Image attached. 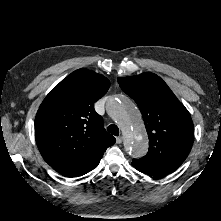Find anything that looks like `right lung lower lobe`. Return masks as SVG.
I'll return each instance as SVG.
<instances>
[{
  "instance_id": "right-lung-lower-lobe-1",
  "label": "right lung lower lobe",
  "mask_w": 221,
  "mask_h": 221,
  "mask_svg": "<svg viewBox=\"0 0 221 221\" xmlns=\"http://www.w3.org/2000/svg\"><path fill=\"white\" fill-rule=\"evenodd\" d=\"M107 148L92 150L80 156L51 166L58 173L66 177L82 176L94 169L100 162Z\"/></svg>"
}]
</instances>
